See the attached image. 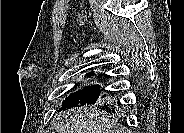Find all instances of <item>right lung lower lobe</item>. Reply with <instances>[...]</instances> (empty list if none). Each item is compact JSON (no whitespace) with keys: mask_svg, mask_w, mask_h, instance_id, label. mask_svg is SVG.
Wrapping results in <instances>:
<instances>
[{"mask_svg":"<svg viewBox=\"0 0 184 133\" xmlns=\"http://www.w3.org/2000/svg\"><path fill=\"white\" fill-rule=\"evenodd\" d=\"M94 102L106 103L108 102V95L106 94V92H102L100 96Z\"/></svg>","mask_w":184,"mask_h":133,"instance_id":"obj_1","label":"right lung lower lobe"}]
</instances>
